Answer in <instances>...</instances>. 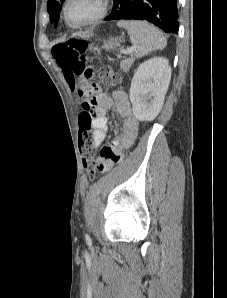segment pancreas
Here are the masks:
<instances>
[{"instance_id":"1","label":"pancreas","mask_w":227,"mask_h":298,"mask_svg":"<svg viewBox=\"0 0 227 298\" xmlns=\"http://www.w3.org/2000/svg\"><path fill=\"white\" fill-rule=\"evenodd\" d=\"M134 62V58H129L121 62V67L124 71H129L130 67Z\"/></svg>"}]
</instances>
